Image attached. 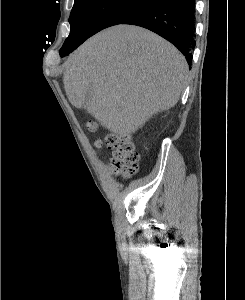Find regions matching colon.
I'll list each match as a JSON object with an SVG mask.
<instances>
[{"instance_id": "colon-1", "label": "colon", "mask_w": 245, "mask_h": 300, "mask_svg": "<svg viewBox=\"0 0 245 300\" xmlns=\"http://www.w3.org/2000/svg\"><path fill=\"white\" fill-rule=\"evenodd\" d=\"M90 129H94L93 123L89 124ZM103 142L98 141L100 146ZM104 144L112 150L111 163L116 172L123 177H130L138 169L139 155L134 151V146L128 138L109 135L105 138Z\"/></svg>"}]
</instances>
